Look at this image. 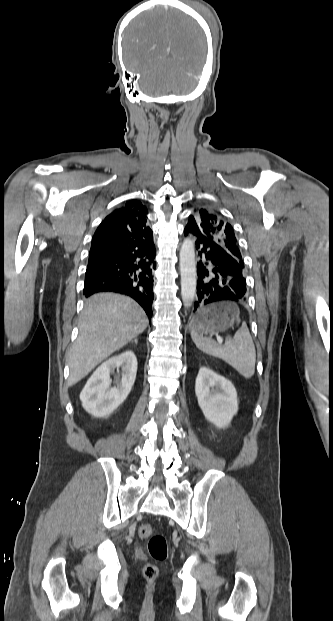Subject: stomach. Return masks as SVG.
I'll return each mask as SVG.
<instances>
[{
  "instance_id": "stomach-1",
  "label": "stomach",
  "mask_w": 333,
  "mask_h": 621,
  "mask_svg": "<svg viewBox=\"0 0 333 621\" xmlns=\"http://www.w3.org/2000/svg\"><path fill=\"white\" fill-rule=\"evenodd\" d=\"M239 319V310L229 302L212 304L198 312L194 327L198 333L221 332L232 327Z\"/></svg>"
}]
</instances>
